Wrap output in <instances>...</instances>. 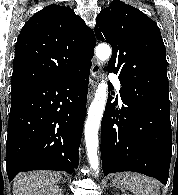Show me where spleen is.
I'll return each mask as SVG.
<instances>
[{"instance_id":"obj_1","label":"spleen","mask_w":178,"mask_h":195,"mask_svg":"<svg viewBox=\"0 0 178 195\" xmlns=\"http://www.w3.org/2000/svg\"><path fill=\"white\" fill-rule=\"evenodd\" d=\"M117 186L132 191L135 195H160L159 182L138 173H119L114 178Z\"/></svg>"}]
</instances>
